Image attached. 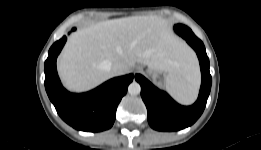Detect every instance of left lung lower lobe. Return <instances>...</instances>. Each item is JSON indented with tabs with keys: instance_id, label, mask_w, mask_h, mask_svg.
I'll use <instances>...</instances> for the list:
<instances>
[{
	"instance_id": "0a47b994",
	"label": "left lung lower lobe",
	"mask_w": 261,
	"mask_h": 150,
	"mask_svg": "<svg viewBox=\"0 0 261 150\" xmlns=\"http://www.w3.org/2000/svg\"><path fill=\"white\" fill-rule=\"evenodd\" d=\"M174 30L196 51L202 83L197 101L186 107L177 104L166 92L156 88L142 75H135V79L141 85V97L147 107L148 122L158 131H177L192 125L204 111L212 83L209 59L202 41L185 25L177 24Z\"/></svg>"
}]
</instances>
